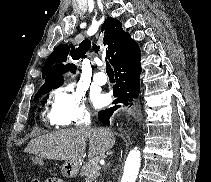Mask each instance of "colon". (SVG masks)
<instances>
[{
  "label": "colon",
  "instance_id": "5ec220e1",
  "mask_svg": "<svg viewBox=\"0 0 211 182\" xmlns=\"http://www.w3.org/2000/svg\"><path fill=\"white\" fill-rule=\"evenodd\" d=\"M35 182H40V181H35ZM43 182H63V180L59 177L51 176L46 178Z\"/></svg>",
  "mask_w": 211,
  "mask_h": 182
}]
</instances>
